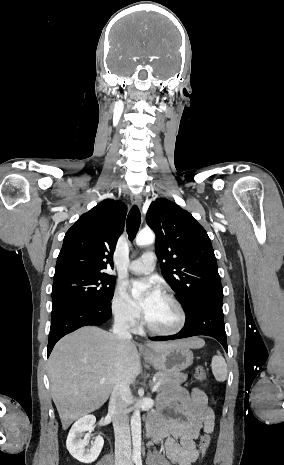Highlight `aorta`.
I'll list each match as a JSON object with an SVG mask.
<instances>
[{
	"instance_id": "1",
	"label": "aorta",
	"mask_w": 284,
	"mask_h": 465,
	"mask_svg": "<svg viewBox=\"0 0 284 465\" xmlns=\"http://www.w3.org/2000/svg\"><path fill=\"white\" fill-rule=\"evenodd\" d=\"M155 241V235L151 230H143L136 237V244L144 246L152 244ZM131 431L133 443V457L139 459L141 457V415L139 409H134L131 417Z\"/></svg>"
}]
</instances>
